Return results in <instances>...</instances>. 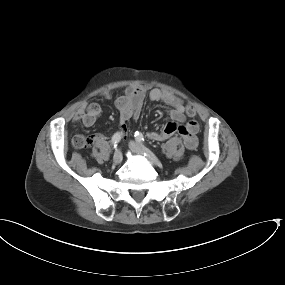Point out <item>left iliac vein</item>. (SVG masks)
Segmentation results:
<instances>
[{
  "mask_svg": "<svg viewBox=\"0 0 285 285\" xmlns=\"http://www.w3.org/2000/svg\"><path fill=\"white\" fill-rule=\"evenodd\" d=\"M129 147L130 149L134 152V153H138V154H144L147 155V157L155 164H159V160L155 157V155L151 152V150H149L147 147H145L144 145L135 142V141H131L129 143Z\"/></svg>",
  "mask_w": 285,
  "mask_h": 285,
  "instance_id": "left-iliac-vein-1",
  "label": "left iliac vein"
}]
</instances>
